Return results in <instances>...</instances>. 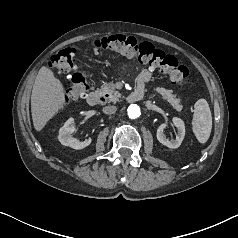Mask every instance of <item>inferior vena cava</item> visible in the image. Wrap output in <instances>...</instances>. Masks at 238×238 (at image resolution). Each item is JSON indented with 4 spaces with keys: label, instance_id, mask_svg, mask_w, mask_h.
Listing matches in <instances>:
<instances>
[{
    "label": "inferior vena cava",
    "instance_id": "602c4592",
    "mask_svg": "<svg viewBox=\"0 0 238 238\" xmlns=\"http://www.w3.org/2000/svg\"><path fill=\"white\" fill-rule=\"evenodd\" d=\"M117 111V107L114 105H108L103 108V113L107 115L114 114Z\"/></svg>",
    "mask_w": 238,
    "mask_h": 238
}]
</instances>
